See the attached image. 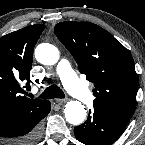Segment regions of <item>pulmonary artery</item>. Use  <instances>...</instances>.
I'll use <instances>...</instances> for the list:
<instances>
[{
  "label": "pulmonary artery",
  "mask_w": 145,
  "mask_h": 145,
  "mask_svg": "<svg viewBox=\"0 0 145 145\" xmlns=\"http://www.w3.org/2000/svg\"><path fill=\"white\" fill-rule=\"evenodd\" d=\"M57 71L60 75L63 84L66 86V88L71 94H73L77 99H79L83 103L92 102V93L77 78L70 63L66 59H62L59 62Z\"/></svg>",
  "instance_id": "1"
}]
</instances>
